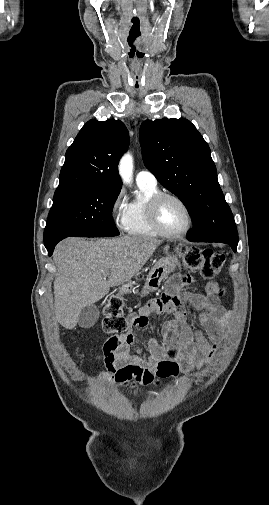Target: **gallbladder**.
<instances>
[{
    "label": "gallbladder",
    "instance_id": "1",
    "mask_svg": "<svg viewBox=\"0 0 269 505\" xmlns=\"http://www.w3.org/2000/svg\"><path fill=\"white\" fill-rule=\"evenodd\" d=\"M99 316V308L94 304L88 305L81 310L78 324L82 328H90L94 326L99 319Z\"/></svg>",
    "mask_w": 269,
    "mask_h": 505
}]
</instances>
